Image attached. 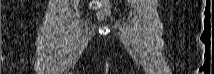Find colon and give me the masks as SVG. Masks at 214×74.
I'll return each instance as SVG.
<instances>
[{
  "label": "colon",
  "instance_id": "obj_1",
  "mask_svg": "<svg viewBox=\"0 0 214 74\" xmlns=\"http://www.w3.org/2000/svg\"><path fill=\"white\" fill-rule=\"evenodd\" d=\"M90 7L93 10H97V17L99 19H104L111 14L110 1L108 0L92 1Z\"/></svg>",
  "mask_w": 214,
  "mask_h": 74
}]
</instances>
